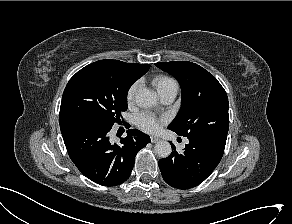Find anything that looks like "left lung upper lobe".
Returning a JSON list of instances; mask_svg holds the SVG:
<instances>
[{
  "mask_svg": "<svg viewBox=\"0 0 292 224\" xmlns=\"http://www.w3.org/2000/svg\"><path fill=\"white\" fill-rule=\"evenodd\" d=\"M173 75L182 90L181 108L168 126L180 136L225 145L229 129V102L217 79L188 61L155 63Z\"/></svg>",
  "mask_w": 292,
  "mask_h": 224,
  "instance_id": "obj_1",
  "label": "left lung upper lobe"
}]
</instances>
